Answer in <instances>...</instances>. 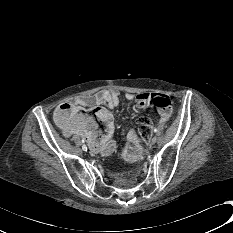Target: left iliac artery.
<instances>
[{
	"label": "left iliac artery",
	"instance_id": "1",
	"mask_svg": "<svg viewBox=\"0 0 233 233\" xmlns=\"http://www.w3.org/2000/svg\"><path fill=\"white\" fill-rule=\"evenodd\" d=\"M154 132H155V133H157V132H158V129H157V128H155V129H154Z\"/></svg>",
	"mask_w": 233,
	"mask_h": 233
}]
</instances>
